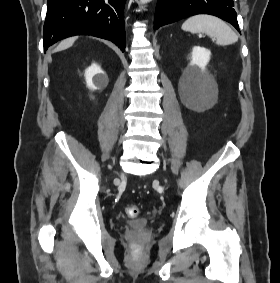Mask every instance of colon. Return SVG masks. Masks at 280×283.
<instances>
[{
  "mask_svg": "<svg viewBox=\"0 0 280 283\" xmlns=\"http://www.w3.org/2000/svg\"><path fill=\"white\" fill-rule=\"evenodd\" d=\"M126 214H127L129 217H131V218H135V217H137L138 214H139V209H138V207H136V206L128 207V208L126 209Z\"/></svg>",
  "mask_w": 280,
  "mask_h": 283,
  "instance_id": "colon-1",
  "label": "colon"
}]
</instances>
